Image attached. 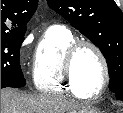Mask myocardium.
<instances>
[{"label":"myocardium","mask_w":123,"mask_h":113,"mask_svg":"<svg viewBox=\"0 0 123 113\" xmlns=\"http://www.w3.org/2000/svg\"><path fill=\"white\" fill-rule=\"evenodd\" d=\"M84 48H90L97 54V56L99 57V59L101 61L102 68H103L102 85H101L100 89L97 92H95L94 94L81 93L76 85V82H75V77H74V72H73L74 62H75L76 57L80 53V51ZM63 71H64V75H65L70 87L72 88V90L80 93L83 98L96 99V98L102 96L108 88L109 81H110V70H109V64H108L107 58H106L104 52L102 51V49L92 41L76 40L68 48L65 58H64V62H63Z\"/></svg>","instance_id":"obj_1"}]
</instances>
